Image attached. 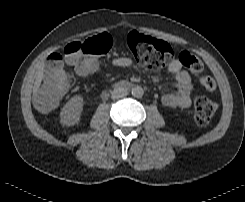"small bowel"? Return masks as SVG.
<instances>
[{"mask_svg": "<svg viewBox=\"0 0 245 202\" xmlns=\"http://www.w3.org/2000/svg\"><path fill=\"white\" fill-rule=\"evenodd\" d=\"M112 65L116 67L128 68L133 66V62L128 57H115L112 59ZM97 70V66L92 64L88 68L81 72L82 75H89ZM168 71L174 75V81L171 85L177 88V91L166 93L162 97V103L168 108H186L191 104L193 83L191 75L187 70L183 68V65L179 59H174L170 62L168 66ZM38 111L41 114L47 115L51 112V109L47 107L46 102H44L38 95Z\"/></svg>", "mask_w": 245, "mask_h": 202, "instance_id": "small-bowel-1", "label": "small bowel"}]
</instances>
